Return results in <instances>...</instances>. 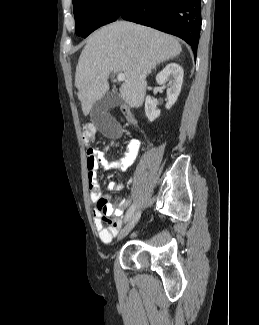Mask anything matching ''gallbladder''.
<instances>
[{
	"mask_svg": "<svg viewBox=\"0 0 259 325\" xmlns=\"http://www.w3.org/2000/svg\"><path fill=\"white\" fill-rule=\"evenodd\" d=\"M121 103V97L117 91L107 92L101 99L96 101L91 109L92 122L101 131L102 136L108 139H121L122 133L119 121H115L112 115L107 111L110 108L118 106Z\"/></svg>",
	"mask_w": 259,
	"mask_h": 325,
	"instance_id": "1",
	"label": "gallbladder"
}]
</instances>
